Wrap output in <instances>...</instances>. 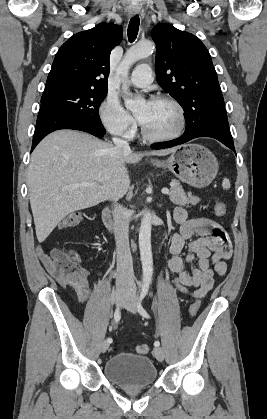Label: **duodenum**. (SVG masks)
<instances>
[{"label": "duodenum", "mask_w": 267, "mask_h": 419, "mask_svg": "<svg viewBox=\"0 0 267 419\" xmlns=\"http://www.w3.org/2000/svg\"><path fill=\"white\" fill-rule=\"evenodd\" d=\"M102 220L103 223L105 225V227L109 230H112L114 227V223H113V219H112V214H111V210L110 208H105L102 212Z\"/></svg>", "instance_id": "duodenum-1"}]
</instances>
